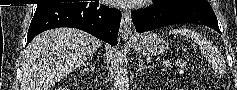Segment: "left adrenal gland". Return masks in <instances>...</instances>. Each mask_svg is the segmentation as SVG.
Segmentation results:
<instances>
[{"label":"left adrenal gland","instance_id":"left-adrenal-gland-1","mask_svg":"<svg viewBox=\"0 0 237 90\" xmlns=\"http://www.w3.org/2000/svg\"><path fill=\"white\" fill-rule=\"evenodd\" d=\"M138 60H139V62H138V66H137V68H138L137 72H142V70H145L146 66H145L142 58H138Z\"/></svg>","mask_w":237,"mask_h":90}]
</instances>
